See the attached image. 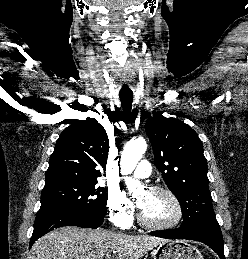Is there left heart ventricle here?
Instances as JSON below:
<instances>
[{
  "label": "left heart ventricle",
  "mask_w": 248,
  "mask_h": 259,
  "mask_svg": "<svg viewBox=\"0 0 248 259\" xmlns=\"http://www.w3.org/2000/svg\"><path fill=\"white\" fill-rule=\"evenodd\" d=\"M138 204L144 219L150 223H167L175 216L173 202L162 193L144 191L138 198Z\"/></svg>",
  "instance_id": "left-heart-ventricle-1"
}]
</instances>
